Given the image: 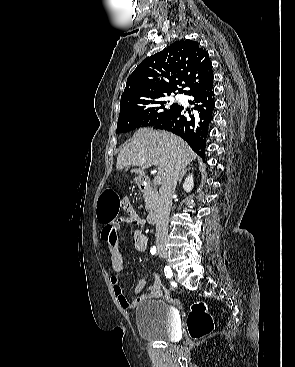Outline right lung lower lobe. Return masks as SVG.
I'll use <instances>...</instances> for the list:
<instances>
[{"instance_id": "1", "label": "right lung lower lobe", "mask_w": 295, "mask_h": 367, "mask_svg": "<svg viewBox=\"0 0 295 367\" xmlns=\"http://www.w3.org/2000/svg\"><path fill=\"white\" fill-rule=\"evenodd\" d=\"M212 83L213 79L204 86L187 93V95L194 98L189 101L190 104L194 105V112L188 110L190 113L188 117L184 115L186 111L180 106L173 113L153 125L155 129H165L182 137L203 159H205L208 127L213 119L212 111L215 107Z\"/></svg>"}]
</instances>
